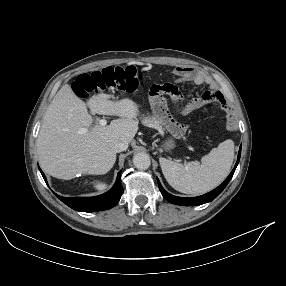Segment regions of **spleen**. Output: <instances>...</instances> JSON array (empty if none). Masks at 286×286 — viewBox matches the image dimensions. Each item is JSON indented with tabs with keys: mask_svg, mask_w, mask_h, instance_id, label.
I'll use <instances>...</instances> for the list:
<instances>
[{
	"mask_svg": "<svg viewBox=\"0 0 286 286\" xmlns=\"http://www.w3.org/2000/svg\"><path fill=\"white\" fill-rule=\"evenodd\" d=\"M234 158V142L230 139L213 148L198 161L180 164L160 158L167 182L177 191L199 195L218 186L229 174Z\"/></svg>",
	"mask_w": 286,
	"mask_h": 286,
	"instance_id": "obj_1",
	"label": "spleen"
}]
</instances>
